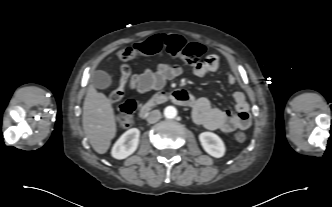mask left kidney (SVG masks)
<instances>
[{"label": "left kidney", "instance_id": "obj_1", "mask_svg": "<svg viewBox=\"0 0 332 207\" xmlns=\"http://www.w3.org/2000/svg\"><path fill=\"white\" fill-rule=\"evenodd\" d=\"M203 149L215 158H221L225 154V145L222 139L212 132H202L199 135Z\"/></svg>", "mask_w": 332, "mask_h": 207}]
</instances>
